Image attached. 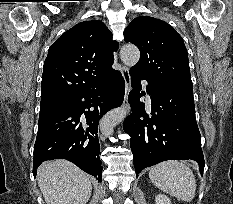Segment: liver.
Returning <instances> with one entry per match:
<instances>
[{"instance_id":"obj_1","label":"liver","mask_w":233,"mask_h":204,"mask_svg":"<svg viewBox=\"0 0 233 204\" xmlns=\"http://www.w3.org/2000/svg\"><path fill=\"white\" fill-rule=\"evenodd\" d=\"M37 180L46 204H86L91 196L88 175L66 160L44 162Z\"/></svg>"}]
</instances>
